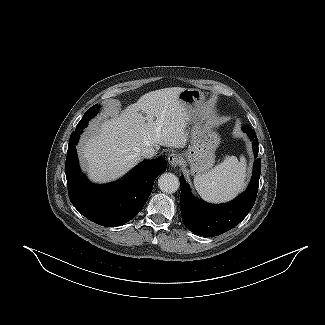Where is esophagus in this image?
Returning a JSON list of instances; mask_svg holds the SVG:
<instances>
[{
  "instance_id": "esophagus-1",
  "label": "esophagus",
  "mask_w": 325,
  "mask_h": 325,
  "mask_svg": "<svg viewBox=\"0 0 325 325\" xmlns=\"http://www.w3.org/2000/svg\"><path fill=\"white\" fill-rule=\"evenodd\" d=\"M181 156L177 153H171L168 156V162L172 167H176L177 165H179L181 163Z\"/></svg>"
}]
</instances>
